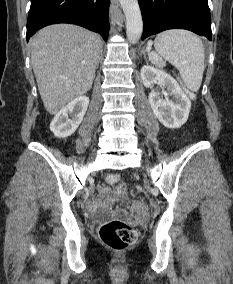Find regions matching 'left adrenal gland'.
Returning <instances> with one entry per match:
<instances>
[{"label": "left adrenal gland", "mask_w": 233, "mask_h": 284, "mask_svg": "<svg viewBox=\"0 0 233 284\" xmlns=\"http://www.w3.org/2000/svg\"><path fill=\"white\" fill-rule=\"evenodd\" d=\"M141 54H143V55H144V57L146 58V52H145V50H144V49H142Z\"/></svg>", "instance_id": "a2214340"}]
</instances>
